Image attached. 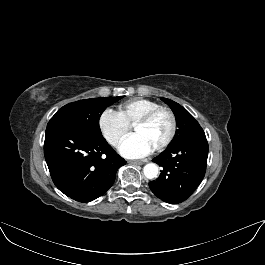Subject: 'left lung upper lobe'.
I'll use <instances>...</instances> for the list:
<instances>
[{"instance_id": "obj_1", "label": "left lung upper lobe", "mask_w": 265, "mask_h": 265, "mask_svg": "<svg viewBox=\"0 0 265 265\" xmlns=\"http://www.w3.org/2000/svg\"><path fill=\"white\" fill-rule=\"evenodd\" d=\"M161 100L172 109L178 126L170 145L204 132L195 118L181 105L167 98H161Z\"/></svg>"}]
</instances>
